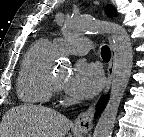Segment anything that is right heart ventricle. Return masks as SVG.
Segmentation results:
<instances>
[{
    "instance_id": "obj_1",
    "label": "right heart ventricle",
    "mask_w": 144,
    "mask_h": 137,
    "mask_svg": "<svg viewBox=\"0 0 144 137\" xmlns=\"http://www.w3.org/2000/svg\"><path fill=\"white\" fill-rule=\"evenodd\" d=\"M57 50L54 44L40 40L26 52L21 64L17 94L19 99L27 104H46L52 96L50 86L51 64Z\"/></svg>"
}]
</instances>
